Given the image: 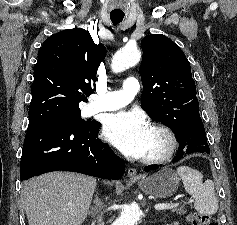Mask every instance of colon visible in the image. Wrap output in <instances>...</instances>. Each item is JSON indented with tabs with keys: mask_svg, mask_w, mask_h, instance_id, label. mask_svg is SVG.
<instances>
[{
	"mask_svg": "<svg viewBox=\"0 0 237 225\" xmlns=\"http://www.w3.org/2000/svg\"><path fill=\"white\" fill-rule=\"evenodd\" d=\"M188 221L191 225H218L210 215L199 213H190Z\"/></svg>",
	"mask_w": 237,
	"mask_h": 225,
	"instance_id": "5ec220e1",
	"label": "colon"
}]
</instances>
